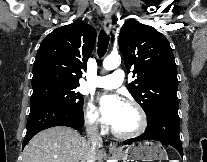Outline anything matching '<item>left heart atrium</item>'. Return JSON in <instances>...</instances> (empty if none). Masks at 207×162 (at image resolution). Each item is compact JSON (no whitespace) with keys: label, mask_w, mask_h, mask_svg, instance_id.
<instances>
[{"label":"left heart atrium","mask_w":207,"mask_h":162,"mask_svg":"<svg viewBox=\"0 0 207 162\" xmlns=\"http://www.w3.org/2000/svg\"><path fill=\"white\" fill-rule=\"evenodd\" d=\"M123 102L115 95L102 96L99 99V109L103 120L113 125Z\"/></svg>","instance_id":"left-heart-atrium-1"}]
</instances>
